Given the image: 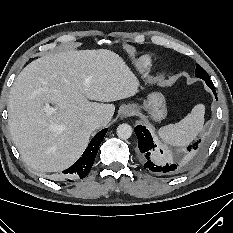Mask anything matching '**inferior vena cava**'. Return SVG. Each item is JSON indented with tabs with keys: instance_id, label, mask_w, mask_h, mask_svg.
I'll use <instances>...</instances> for the list:
<instances>
[{
	"instance_id": "602c4592",
	"label": "inferior vena cava",
	"mask_w": 233,
	"mask_h": 233,
	"mask_svg": "<svg viewBox=\"0 0 233 233\" xmlns=\"http://www.w3.org/2000/svg\"><path fill=\"white\" fill-rule=\"evenodd\" d=\"M103 124L104 120L97 115H90L83 122L84 127L91 131L99 129Z\"/></svg>"
}]
</instances>
